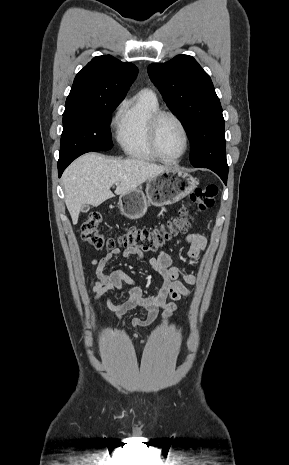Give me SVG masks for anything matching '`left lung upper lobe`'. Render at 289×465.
Wrapping results in <instances>:
<instances>
[{
    "mask_svg": "<svg viewBox=\"0 0 289 465\" xmlns=\"http://www.w3.org/2000/svg\"><path fill=\"white\" fill-rule=\"evenodd\" d=\"M147 70L183 124L191 144V164L228 170L222 107L210 76L188 55L151 64Z\"/></svg>",
    "mask_w": 289,
    "mask_h": 465,
    "instance_id": "1",
    "label": "left lung upper lobe"
}]
</instances>
